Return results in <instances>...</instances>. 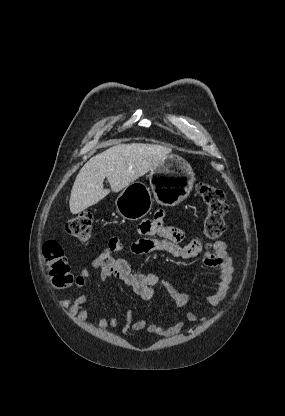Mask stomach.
<instances>
[{"instance_id": "obj_1", "label": "stomach", "mask_w": 285, "mask_h": 416, "mask_svg": "<svg viewBox=\"0 0 285 416\" xmlns=\"http://www.w3.org/2000/svg\"><path fill=\"white\" fill-rule=\"evenodd\" d=\"M195 182L194 172L181 156L170 154L149 174V184L157 204L178 206L188 198ZM116 210L125 220H140L149 214L153 200L145 184L132 182L119 194Z\"/></svg>"}]
</instances>
